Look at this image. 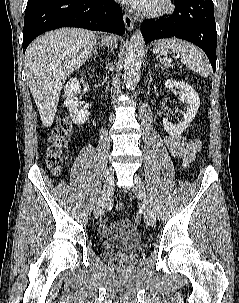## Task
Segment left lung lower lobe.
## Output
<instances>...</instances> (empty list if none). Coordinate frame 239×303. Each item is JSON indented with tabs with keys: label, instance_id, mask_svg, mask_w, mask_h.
Masks as SVG:
<instances>
[{
	"label": "left lung lower lobe",
	"instance_id": "left-lung-lower-lobe-1",
	"mask_svg": "<svg viewBox=\"0 0 239 303\" xmlns=\"http://www.w3.org/2000/svg\"><path fill=\"white\" fill-rule=\"evenodd\" d=\"M171 16L142 23L145 44L160 38L177 37L199 46L216 70L217 32L212 0H174Z\"/></svg>",
	"mask_w": 239,
	"mask_h": 303
}]
</instances>
